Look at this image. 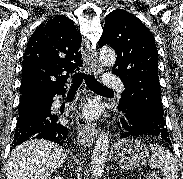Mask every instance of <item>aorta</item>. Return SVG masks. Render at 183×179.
<instances>
[{"label":"aorta","mask_w":183,"mask_h":179,"mask_svg":"<svg viewBox=\"0 0 183 179\" xmlns=\"http://www.w3.org/2000/svg\"><path fill=\"white\" fill-rule=\"evenodd\" d=\"M99 58L106 66H112L116 62V54L114 50L107 47L100 49ZM109 144L110 140L108 133L102 131L96 141L91 159V170L95 179L101 178L102 173L104 172L109 153Z\"/></svg>","instance_id":"aorta-1"}]
</instances>
